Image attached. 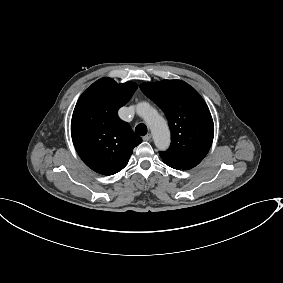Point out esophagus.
I'll use <instances>...</instances> for the list:
<instances>
[{"label": "esophagus", "instance_id": "esophagus-1", "mask_svg": "<svg viewBox=\"0 0 283 283\" xmlns=\"http://www.w3.org/2000/svg\"><path fill=\"white\" fill-rule=\"evenodd\" d=\"M152 138V135L148 133L147 135L143 136L144 141H149Z\"/></svg>", "mask_w": 283, "mask_h": 283}]
</instances>
